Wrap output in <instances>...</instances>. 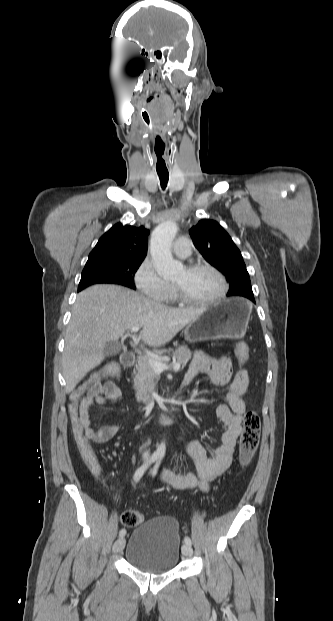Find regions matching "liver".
Returning a JSON list of instances; mask_svg holds the SVG:
<instances>
[{
  "instance_id": "liver-1",
  "label": "liver",
  "mask_w": 333,
  "mask_h": 621,
  "mask_svg": "<svg viewBox=\"0 0 333 621\" xmlns=\"http://www.w3.org/2000/svg\"><path fill=\"white\" fill-rule=\"evenodd\" d=\"M203 308H171L115 285L83 290L77 295L65 335L62 372L66 392H72L102 362L107 343L118 341L127 330L142 327V341L161 346L195 321Z\"/></svg>"
}]
</instances>
